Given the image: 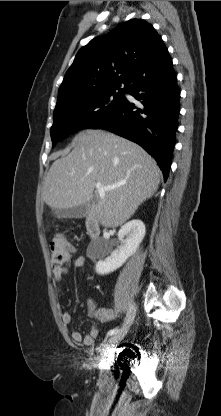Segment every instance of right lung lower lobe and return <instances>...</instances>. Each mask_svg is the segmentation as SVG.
Wrapping results in <instances>:
<instances>
[{
	"mask_svg": "<svg viewBox=\"0 0 221 416\" xmlns=\"http://www.w3.org/2000/svg\"><path fill=\"white\" fill-rule=\"evenodd\" d=\"M138 104L125 101L115 114L93 128H101L142 146L155 158L164 180L168 178L176 143L180 91L174 70L165 78L137 84L128 91Z\"/></svg>",
	"mask_w": 221,
	"mask_h": 416,
	"instance_id": "obj_1",
	"label": "right lung lower lobe"
}]
</instances>
